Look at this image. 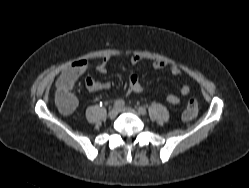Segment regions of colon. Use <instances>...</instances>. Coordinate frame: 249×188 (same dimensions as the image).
I'll list each match as a JSON object with an SVG mask.
<instances>
[{"mask_svg": "<svg viewBox=\"0 0 249 188\" xmlns=\"http://www.w3.org/2000/svg\"><path fill=\"white\" fill-rule=\"evenodd\" d=\"M55 101L59 109L66 114L72 113L76 107V99L71 91L61 88L56 90ZM198 114V103L195 99H189L183 111L184 121L193 120Z\"/></svg>", "mask_w": 249, "mask_h": 188, "instance_id": "obj_1", "label": "colon"}]
</instances>
